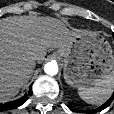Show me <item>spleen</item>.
Listing matches in <instances>:
<instances>
[{
	"instance_id": "spleen-1",
	"label": "spleen",
	"mask_w": 114,
	"mask_h": 114,
	"mask_svg": "<svg viewBox=\"0 0 114 114\" xmlns=\"http://www.w3.org/2000/svg\"><path fill=\"white\" fill-rule=\"evenodd\" d=\"M114 91V71L100 79L93 87H80L78 94L85 102L101 105L106 102Z\"/></svg>"
}]
</instances>
